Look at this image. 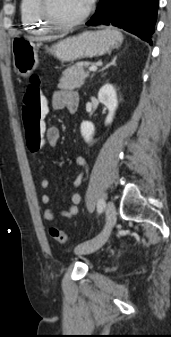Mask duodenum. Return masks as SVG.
Returning <instances> with one entry per match:
<instances>
[{
    "mask_svg": "<svg viewBox=\"0 0 171 337\" xmlns=\"http://www.w3.org/2000/svg\"><path fill=\"white\" fill-rule=\"evenodd\" d=\"M77 110V105H70L69 106V112L74 113Z\"/></svg>",
    "mask_w": 171,
    "mask_h": 337,
    "instance_id": "410a0bca",
    "label": "duodenum"
}]
</instances>
